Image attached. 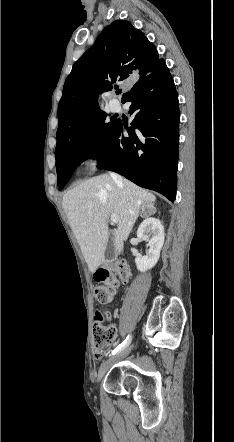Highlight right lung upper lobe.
Here are the masks:
<instances>
[{
  "mask_svg": "<svg viewBox=\"0 0 234 442\" xmlns=\"http://www.w3.org/2000/svg\"><path fill=\"white\" fill-rule=\"evenodd\" d=\"M163 63L143 32L126 20L112 22L74 63L65 81L58 106L56 148L70 138L88 115L99 110L98 94L134 77L141 81Z\"/></svg>",
  "mask_w": 234,
  "mask_h": 442,
  "instance_id": "1",
  "label": "right lung upper lobe"
}]
</instances>
